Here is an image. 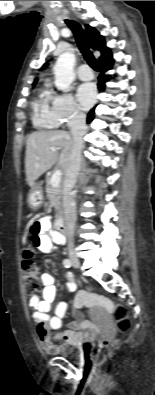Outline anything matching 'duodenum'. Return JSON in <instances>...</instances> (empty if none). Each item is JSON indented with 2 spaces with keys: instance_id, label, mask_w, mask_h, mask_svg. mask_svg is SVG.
Segmentation results:
<instances>
[{
  "instance_id": "duodenum-1",
  "label": "duodenum",
  "mask_w": 155,
  "mask_h": 395,
  "mask_svg": "<svg viewBox=\"0 0 155 395\" xmlns=\"http://www.w3.org/2000/svg\"><path fill=\"white\" fill-rule=\"evenodd\" d=\"M56 230L61 237L64 238L66 231V224L63 218H58L55 224Z\"/></svg>"
}]
</instances>
